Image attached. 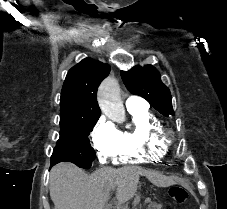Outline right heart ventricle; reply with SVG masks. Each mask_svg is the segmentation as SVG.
Returning <instances> with one entry per match:
<instances>
[{
    "label": "right heart ventricle",
    "mask_w": 227,
    "mask_h": 209,
    "mask_svg": "<svg viewBox=\"0 0 227 209\" xmlns=\"http://www.w3.org/2000/svg\"><path fill=\"white\" fill-rule=\"evenodd\" d=\"M131 125L120 131V143L112 156L115 165L154 162L162 159L168 148L154 138L155 129L161 124L147 108L127 107Z\"/></svg>",
    "instance_id": "obj_1"
}]
</instances>
